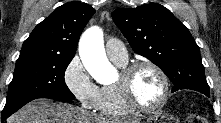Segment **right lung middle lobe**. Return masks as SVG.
I'll return each instance as SVG.
<instances>
[{
  "label": "right lung middle lobe",
  "mask_w": 221,
  "mask_h": 123,
  "mask_svg": "<svg viewBox=\"0 0 221 123\" xmlns=\"http://www.w3.org/2000/svg\"><path fill=\"white\" fill-rule=\"evenodd\" d=\"M73 55L20 53L2 117L10 116L37 98L73 100L64 73Z\"/></svg>",
  "instance_id": "dd1d6c3e"
}]
</instances>
